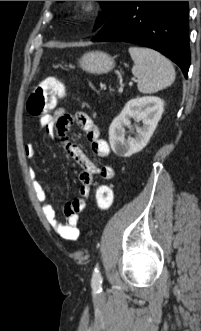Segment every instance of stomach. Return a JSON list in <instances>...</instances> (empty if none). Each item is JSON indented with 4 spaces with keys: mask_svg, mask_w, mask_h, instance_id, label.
I'll return each instance as SVG.
<instances>
[{
    "mask_svg": "<svg viewBox=\"0 0 201 331\" xmlns=\"http://www.w3.org/2000/svg\"><path fill=\"white\" fill-rule=\"evenodd\" d=\"M80 67L90 73L103 74L111 71L115 66L114 58L109 54L92 51L85 53L79 60Z\"/></svg>",
    "mask_w": 201,
    "mask_h": 331,
    "instance_id": "0dacf381",
    "label": "stomach"
}]
</instances>
